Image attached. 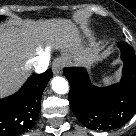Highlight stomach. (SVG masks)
Returning a JSON list of instances; mask_svg holds the SVG:
<instances>
[{
	"label": "stomach",
	"mask_w": 136,
	"mask_h": 136,
	"mask_svg": "<svg viewBox=\"0 0 136 136\" xmlns=\"http://www.w3.org/2000/svg\"><path fill=\"white\" fill-rule=\"evenodd\" d=\"M99 58H100V56H98V58H97L96 60H99ZM96 60H95V61H96Z\"/></svg>",
	"instance_id": "stomach-1"
}]
</instances>
